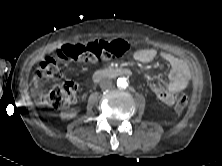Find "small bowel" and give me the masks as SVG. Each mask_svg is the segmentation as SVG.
<instances>
[{
	"label": "small bowel",
	"instance_id": "1",
	"mask_svg": "<svg viewBox=\"0 0 222 166\" xmlns=\"http://www.w3.org/2000/svg\"><path fill=\"white\" fill-rule=\"evenodd\" d=\"M157 56L169 64L171 68L169 80L165 86L153 84L151 88L161 102L172 106L175 103V94L188 86L191 78L190 70L183 59L167 52L158 53L153 48H147L136 50L133 53V58L143 63L151 62Z\"/></svg>",
	"mask_w": 222,
	"mask_h": 166
}]
</instances>
